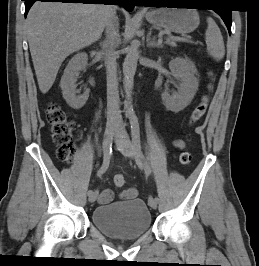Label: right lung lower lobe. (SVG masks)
Returning a JSON list of instances; mask_svg holds the SVG:
<instances>
[{"instance_id": "obj_1", "label": "right lung lower lobe", "mask_w": 259, "mask_h": 266, "mask_svg": "<svg viewBox=\"0 0 259 266\" xmlns=\"http://www.w3.org/2000/svg\"><path fill=\"white\" fill-rule=\"evenodd\" d=\"M25 1V16L27 15L30 7L36 1L42 2H62V3H84V4H116L123 6L127 10H132L134 3L131 0H22Z\"/></svg>"}]
</instances>
